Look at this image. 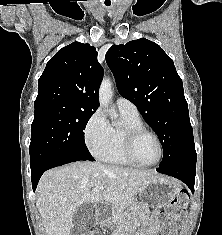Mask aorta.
<instances>
[{"label":"aorta","instance_id":"aorta-1","mask_svg":"<svg viewBox=\"0 0 222 235\" xmlns=\"http://www.w3.org/2000/svg\"><path fill=\"white\" fill-rule=\"evenodd\" d=\"M113 96L112 83L109 78H104L99 88V102L104 108H108ZM111 118H117L115 111H110Z\"/></svg>","mask_w":222,"mask_h":235}]
</instances>
